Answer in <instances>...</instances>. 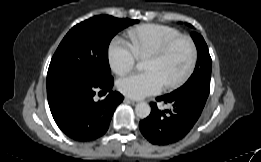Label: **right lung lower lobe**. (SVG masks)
I'll return each mask as SVG.
<instances>
[{
  "label": "right lung lower lobe",
  "mask_w": 261,
  "mask_h": 162,
  "mask_svg": "<svg viewBox=\"0 0 261 162\" xmlns=\"http://www.w3.org/2000/svg\"><path fill=\"white\" fill-rule=\"evenodd\" d=\"M113 83L112 77L100 84L69 78L47 87L49 107L58 127L77 141H91L105 134L116 107L124 99L111 90ZM96 88L109 92L108 96L95 102Z\"/></svg>",
  "instance_id": "right-lung-lower-lobe-1"
}]
</instances>
